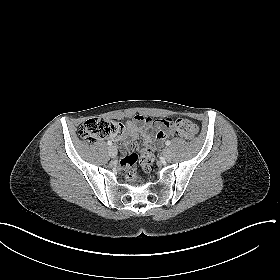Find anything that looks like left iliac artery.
<instances>
[{
	"mask_svg": "<svg viewBox=\"0 0 280 280\" xmlns=\"http://www.w3.org/2000/svg\"><path fill=\"white\" fill-rule=\"evenodd\" d=\"M165 144H166V146H169V145L171 144V141L167 140V141L165 142Z\"/></svg>",
	"mask_w": 280,
	"mask_h": 280,
	"instance_id": "1",
	"label": "left iliac artery"
}]
</instances>
